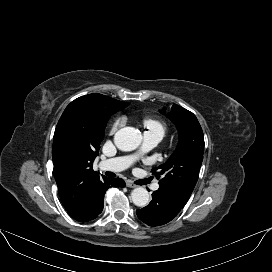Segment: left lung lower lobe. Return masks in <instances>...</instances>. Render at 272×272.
<instances>
[{
  "instance_id": "left-lung-lower-lobe-1",
  "label": "left lung lower lobe",
  "mask_w": 272,
  "mask_h": 272,
  "mask_svg": "<svg viewBox=\"0 0 272 272\" xmlns=\"http://www.w3.org/2000/svg\"><path fill=\"white\" fill-rule=\"evenodd\" d=\"M184 206L185 203L159 188L153 193L150 204L136 214L147 225L160 226L171 221Z\"/></svg>"
}]
</instances>
